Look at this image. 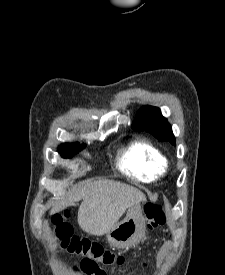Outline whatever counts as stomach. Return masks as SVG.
<instances>
[{"label":"stomach","mask_w":225,"mask_h":275,"mask_svg":"<svg viewBox=\"0 0 225 275\" xmlns=\"http://www.w3.org/2000/svg\"><path fill=\"white\" fill-rule=\"evenodd\" d=\"M145 230L143 207L140 203H136L129 208L126 217L106 233V238L113 247L128 248L144 237Z\"/></svg>","instance_id":"0dacf381"}]
</instances>
